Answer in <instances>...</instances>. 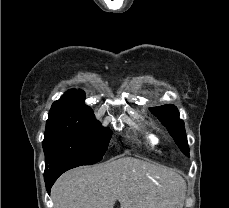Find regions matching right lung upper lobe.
Wrapping results in <instances>:
<instances>
[{"mask_svg":"<svg viewBox=\"0 0 229 208\" xmlns=\"http://www.w3.org/2000/svg\"><path fill=\"white\" fill-rule=\"evenodd\" d=\"M85 93L82 90L70 89L59 100L55 101L51 109H63L77 114L94 118L92 109L84 104Z\"/></svg>","mask_w":229,"mask_h":208,"instance_id":"right-lung-upper-lobe-1","label":"right lung upper lobe"}]
</instances>
